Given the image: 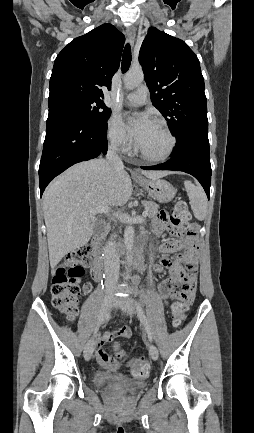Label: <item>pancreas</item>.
Here are the masks:
<instances>
[{
    "label": "pancreas",
    "instance_id": "pancreas-1",
    "mask_svg": "<svg viewBox=\"0 0 254 433\" xmlns=\"http://www.w3.org/2000/svg\"><path fill=\"white\" fill-rule=\"evenodd\" d=\"M142 204L145 206V208H146V210L148 212L147 216L149 218H152V217H154L157 214L158 209H159V205L158 204H156L153 201H143Z\"/></svg>",
    "mask_w": 254,
    "mask_h": 433
}]
</instances>
